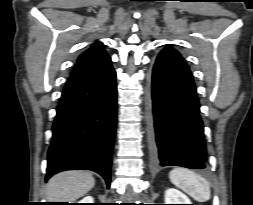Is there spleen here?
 <instances>
[{"label": "spleen", "mask_w": 253, "mask_h": 205, "mask_svg": "<svg viewBox=\"0 0 253 205\" xmlns=\"http://www.w3.org/2000/svg\"><path fill=\"white\" fill-rule=\"evenodd\" d=\"M171 182L189 194L198 202H206L210 199L211 191L209 182L187 168H174L169 173Z\"/></svg>", "instance_id": "obj_1"}]
</instances>
